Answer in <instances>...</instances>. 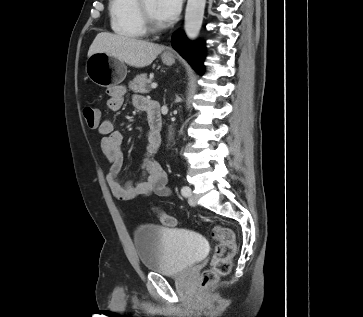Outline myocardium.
Here are the masks:
<instances>
[{"instance_id":"obj_1","label":"myocardium","mask_w":363,"mask_h":317,"mask_svg":"<svg viewBox=\"0 0 363 317\" xmlns=\"http://www.w3.org/2000/svg\"><path fill=\"white\" fill-rule=\"evenodd\" d=\"M137 12L144 28L149 32H159L164 26L157 23L145 7V0H137Z\"/></svg>"}]
</instances>
